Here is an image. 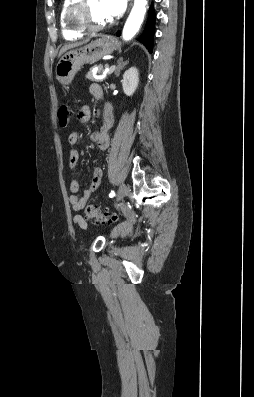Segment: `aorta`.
<instances>
[{
    "mask_svg": "<svg viewBox=\"0 0 254 397\" xmlns=\"http://www.w3.org/2000/svg\"><path fill=\"white\" fill-rule=\"evenodd\" d=\"M147 0H134V6L123 28V39L130 40L139 31L146 13Z\"/></svg>",
    "mask_w": 254,
    "mask_h": 397,
    "instance_id": "obj_1",
    "label": "aorta"
}]
</instances>
